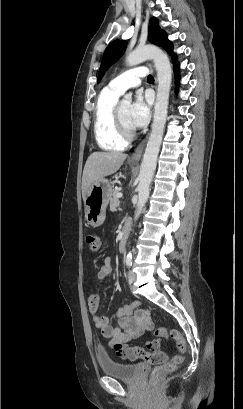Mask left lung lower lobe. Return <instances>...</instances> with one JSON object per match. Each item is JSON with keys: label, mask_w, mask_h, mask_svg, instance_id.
I'll list each match as a JSON object with an SVG mask.
<instances>
[{"label": "left lung lower lobe", "mask_w": 243, "mask_h": 409, "mask_svg": "<svg viewBox=\"0 0 243 409\" xmlns=\"http://www.w3.org/2000/svg\"><path fill=\"white\" fill-rule=\"evenodd\" d=\"M172 56V60L174 63V72H175V80H176V89L178 88V81H179V71H178V65L176 62V56L173 54Z\"/></svg>", "instance_id": "1"}]
</instances>
